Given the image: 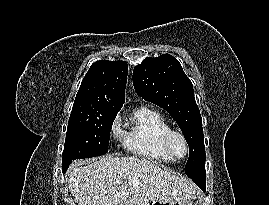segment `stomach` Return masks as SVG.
Listing matches in <instances>:
<instances>
[{"label":"stomach","mask_w":269,"mask_h":205,"mask_svg":"<svg viewBox=\"0 0 269 205\" xmlns=\"http://www.w3.org/2000/svg\"><path fill=\"white\" fill-rule=\"evenodd\" d=\"M125 205V204H121ZM147 205H192L189 200H179V201H162V200H152L147 203Z\"/></svg>","instance_id":"obj_1"}]
</instances>
